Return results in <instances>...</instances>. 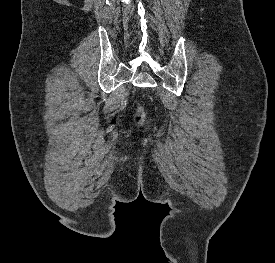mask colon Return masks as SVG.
<instances>
[{
  "label": "colon",
  "mask_w": 275,
  "mask_h": 263,
  "mask_svg": "<svg viewBox=\"0 0 275 263\" xmlns=\"http://www.w3.org/2000/svg\"><path fill=\"white\" fill-rule=\"evenodd\" d=\"M146 120V116H145V112L143 110V108H138L136 115H135V122L137 123V125H143L144 122Z\"/></svg>",
  "instance_id": "1"
}]
</instances>
